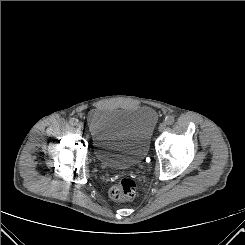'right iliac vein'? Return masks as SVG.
Masks as SVG:
<instances>
[{
	"label": "right iliac vein",
	"mask_w": 245,
	"mask_h": 245,
	"mask_svg": "<svg viewBox=\"0 0 245 245\" xmlns=\"http://www.w3.org/2000/svg\"><path fill=\"white\" fill-rule=\"evenodd\" d=\"M77 129L78 130H82L83 129V124L82 123H78L77 124Z\"/></svg>",
	"instance_id": "right-iliac-vein-1"
}]
</instances>
